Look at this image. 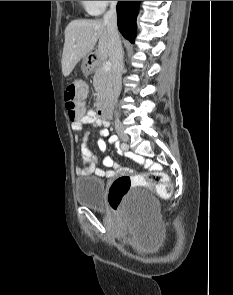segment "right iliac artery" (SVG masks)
<instances>
[{
    "label": "right iliac artery",
    "instance_id": "obj_1",
    "mask_svg": "<svg viewBox=\"0 0 233 295\" xmlns=\"http://www.w3.org/2000/svg\"><path fill=\"white\" fill-rule=\"evenodd\" d=\"M120 148H122V150H125V148H127L126 144H121Z\"/></svg>",
    "mask_w": 233,
    "mask_h": 295
}]
</instances>
